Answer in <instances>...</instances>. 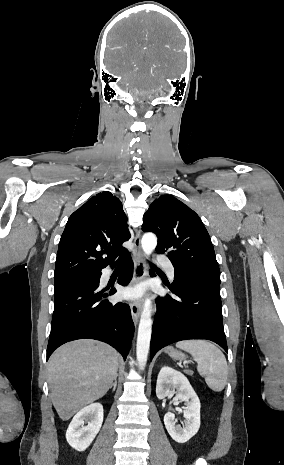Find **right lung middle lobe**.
<instances>
[{"instance_id": "dd1d6c3e", "label": "right lung middle lobe", "mask_w": 284, "mask_h": 465, "mask_svg": "<svg viewBox=\"0 0 284 465\" xmlns=\"http://www.w3.org/2000/svg\"><path fill=\"white\" fill-rule=\"evenodd\" d=\"M96 276L97 275H85V276H80V277H76V278L58 280V281H55V283H54V289L57 290V289H59V288H61L63 286H66V285H69V284H72V283H76V282L89 280V279H92V278H94Z\"/></svg>"}]
</instances>
